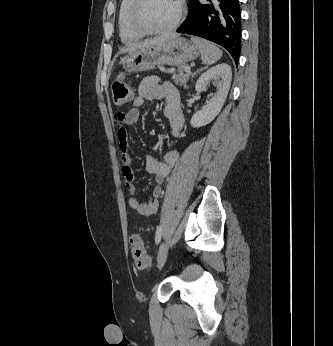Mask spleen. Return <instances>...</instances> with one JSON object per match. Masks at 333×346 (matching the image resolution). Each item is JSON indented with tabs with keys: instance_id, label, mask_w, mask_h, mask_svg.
I'll return each instance as SVG.
<instances>
[{
	"instance_id": "spleen-1",
	"label": "spleen",
	"mask_w": 333,
	"mask_h": 346,
	"mask_svg": "<svg viewBox=\"0 0 333 346\" xmlns=\"http://www.w3.org/2000/svg\"><path fill=\"white\" fill-rule=\"evenodd\" d=\"M191 40L199 47L204 64L211 65L221 58L222 51L213 43L198 37H191Z\"/></svg>"
}]
</instances>
